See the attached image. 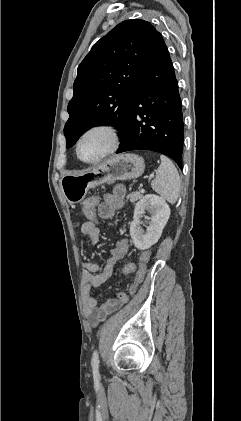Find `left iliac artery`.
Instances as JSON below:
<instances>
[{"mask_svg":"<svg viewBox=\"0 0 241 421\" xmlns=\"http://www.w3.org/2000/svg\"><path fill=\"white\" fill-rule=\"evenodd\" d=\"M91 365L95 371H98L99 368V355L98 352L95 350L92 355Z\"/></svg>","mask_w":241,"mask_h":421,"instance_id":"left-iliac-artery-1","label":"left iliac artery"}]
</instances>
